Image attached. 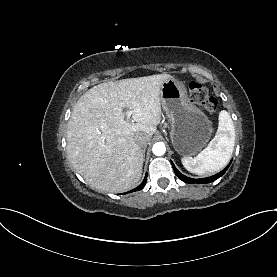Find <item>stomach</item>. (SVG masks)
<instances>
[{
    "mask_svg": "<svg viewBox=\"0 0 277 277\" xmlns=\"http://www.w3.org/2000/svg\"><path fill=\"white\" fill-rule=\"evenodd\" d=\"M160 100L171 125L170 139L176 152L185 157L197 154L213 133L210 119L190 102L185 86L175 78L162 83Z\"/></svg>",
    "mask_w": 277,
    "mask_h": 277,
    "instance_id": "obj_1",
    "label": "stomach"
}]
</instances>
